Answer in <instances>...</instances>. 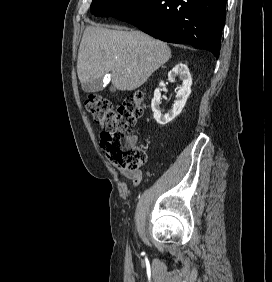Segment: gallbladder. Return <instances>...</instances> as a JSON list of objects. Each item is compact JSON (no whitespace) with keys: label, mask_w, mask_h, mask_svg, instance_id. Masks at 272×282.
<instances>
[{"label":"gallbladder","mask_w":272,"mask_h":282,"mask_svg":"<svg viewBox=\"0 0 272 282\" xmlns=\"http://www.w3.org/2000/svg\"><path fill=\"white\" fill-rule=\"evenodd\" d=\"M105 87V84L102 80H98L96 82L93 83H85L82 85V89L85 92L88 93H93V92H99L102 91Z\"/></svg>","instance_id":"obj_1"}]
</instances>
